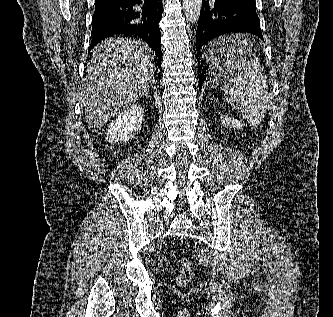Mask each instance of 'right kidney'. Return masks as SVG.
Listing matches in <instances>:
<instances>
[{
  "label": "right kidney",
  "instance_id": "right-kidney-1",
  "mask_svg": "<svg viewBox=\"0 0 333 317\" xmlns=\"http://www.w3.org/2000/svg\"><path fill=\"white\" fill-rule=\"evenodd\" d=\"M143 114L144 110L139 104H134L124 109L110 123L106 140L119 144L134 138L142 127L144 121Z\"/></svg>",
  "mask_w": 333,
  "mask_h": 317
}]
</instances>
